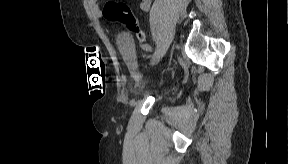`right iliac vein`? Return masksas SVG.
Listing matches in <instances>:
<instances>
[{
	"label": "right iliac vein",
	"mask_w": 288,
	"mask_h": 164,
	"mask_svg": "<svg viewBox=\"0 0 288 164\" xmlns=\"http://www.w3.org/2000/svg\"><path fill=\"white\" fill-rule=\"evenodd\" d=\"M162 56V50L157 51L151 58L150 64L154 65Z\"/></svg>",
	"instance_id": "1"
}]
</instances>
